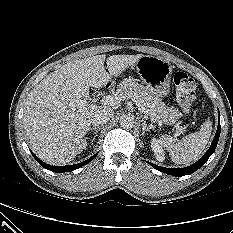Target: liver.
Returning <instances> with one entry per match:
<instances>
[{
	"instance_id": "obj_1",
	"label": "liver",
	"mask_w": 233,
	"mask_h": 233,
	"mask_svg": "<svg viewBox=\"0 0 233 233\" xmlns=\"http://www.w3.org/2000/svg\"><path fill=\"white\" fill-rule=\"evenodd\" d=\"M143 55H96L75 60L50 73L29 94L23 117L33 152L43 161H72L99 107L89 88H101L133 66ZM108 107V106H106Z\"/></svg>"
}]
</instances>
